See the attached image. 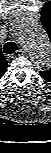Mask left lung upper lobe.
<instances>
[{"label":"left lung upper lobe","instance_id":"1","mask_svg":"<svg viewBox=\"0 0 51 153\" xmlns=\"http://www.w3.org/2000/svg\"><path fill=\"white\" fill-rule=\"evenodd\" d=\"M41 22L51 40V1L46 2L42 8ZM40 75L44 80L51 82V68L46 71H40Z\"/></svg>","mask_w":51,"mask_h":153}]
</instances>
